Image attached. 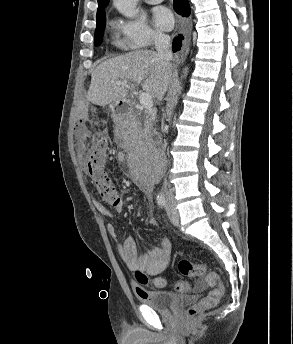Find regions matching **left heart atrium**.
<instances>
[{"label":"left heart atrium","mask_w":293,"mask_h":344,"mask_svg":"<svg viewBox=\"0 0 293 344\" xmlns=\"http://www.w3.org/2000/svg\"><path fill=\"white\" fill-rule=\"evenodd\" d=\"M153 22L162 30H170L173 26V16L165 7H157L153 10Z\"/></svg>","instance_id":"39dd6f15"}]
</instances>
